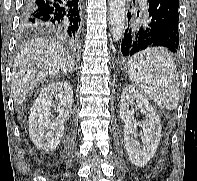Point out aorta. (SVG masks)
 Wrapping results in <instances>:
<instances>
[{
    "instance_id": "762f6f07",
    "label": "aorta",
    "mask_w": 197,
    "mask_h": 181,
    "mask_svg": "<svg viewBox=\"0 0 197 181\" xmlns=\"http://www.w3.org/2000/svg\"><path fill=\"white\" fill-rule=\"evenodd\" d=\"M110 24L113 40L118 42L124 32L125 0H109Z\"/></svg>"
}]
</instances>
